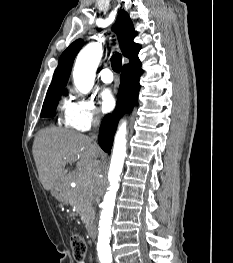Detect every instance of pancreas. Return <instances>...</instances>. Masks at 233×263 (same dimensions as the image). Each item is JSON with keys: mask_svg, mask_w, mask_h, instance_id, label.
<instances>
[{"mask_svg": "<svg viewBox=\"0 0 233 263\" xmlns=\"http://www.w3.org/2000/svg\"><path fill=\"white\" fill-rule=\"evenodd\" d=\"M66 202L75 207L86 227L93 222L95 211L92 206L90 193L81 192L78 187L71 188Z\"/></svg>", "mask_w": 233, "mask_h": 263, "instance_id": "obj_1", "label": "pancreas"}]
</instances>
